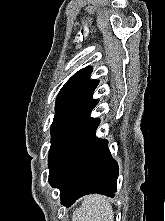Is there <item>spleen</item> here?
I'll return each instance as SVG.
<instances>
[{
  "instance_id": "1",
  "label": "spleen",
  "mask_w": 165,
  "mask_h": 221,
  "mask_svg": "<svg viewBox=\"0 0 165 221\" xmlns=\"http://www.w3.org/2000/svg\"><path fill=\"white\" fill-rule=\"evenodd\" d=\"M114 212L108 199L93 194L82 199V205L73 213L72 221H113Z\"/></svg>"
}]
</instances>
